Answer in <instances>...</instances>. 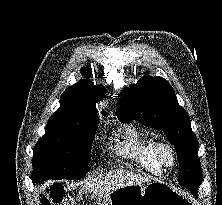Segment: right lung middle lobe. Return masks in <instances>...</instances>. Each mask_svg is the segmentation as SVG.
<instances>
[{
  "mask_svg": "<svg viewBox=\"0 0 222 205\" xmlns=\"http://www.w3.org/2000/svg\"><path fill=\"white\" fill-rule=\"evenodd\" d=\"M98 121L48 122L33 155L32 181L79 180L89 171L91 147Z\"/></svg>",
  "mask_w": 222,
  "mask_h": 205,
  "instance_id": "obj_1",
  "label": "right lung middle lobe"
}]
</instances>
